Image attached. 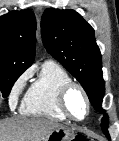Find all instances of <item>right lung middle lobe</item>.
I'll use <instances>...</instances> for the list:
<instances>
[{
    "label": "right lung middle lobe",
    "instance_id": "right-lung-middle-lobe-1",
    "mask_svg": "<svg viewBox=\"0 0 119 141\" xmlns=\"http://www.w3.org/2000/svg\"><path fill=\"white\" fill-rule=\"evenodd\" d=\"M23 72L0 71V97H7L15 81Z\"/></svg>",
    "mask_w": 119,
    "mask_h": 141
}]
</instances>
